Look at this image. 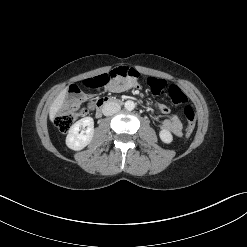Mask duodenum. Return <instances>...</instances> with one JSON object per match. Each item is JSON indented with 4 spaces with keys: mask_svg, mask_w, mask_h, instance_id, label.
Here are the masks:
<instances>
[{
    "mask_svg": "<svg viewBox=\"0 0 247 247\" xmlns=\"http://www.w3.org/2000/svg\"><path fill=\"white\" fill-rule=\"evenodd\" d=\"M122 101L119 99L111 98V97H106L99 99L96 104V117L100 118L103 114V111L105 108L113 105H121Z\"/></svg>",
    "mask_w": 247,
    "mask_h": 247,
    "instance_id": "410a0bca",
    "label": "duodenum"
}]
</instances>
